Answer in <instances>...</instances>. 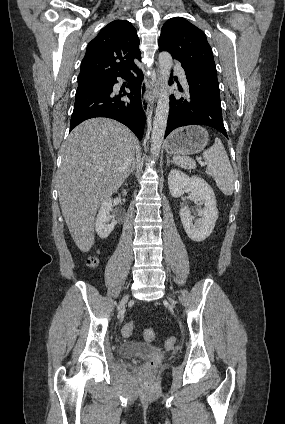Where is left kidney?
Segmentation results:
<instances>
[{
	"mask_svg": "<svg viewBox=\"0 0 285 424\" xmlns=\"http://www.w3.org/2000/svg\"><path fill=\"white\" fill-rule=\"evenodd\" d=\"M168 185L173 197H180L185 192L190 191L191 195L199 201V205L204 204V207L198 210V215L201 218L195 224H193V217L189 208L184 206L183 203L179 215L184 230L191 240L195 242L205 240L212 233L218 219L216 197L211 186L201 177H190L177 169L170 171Z\"/></svg>",
	"mask_w": 285,
	"mask_h": 424,
	"instance_id": "left-kidney-1",
	"label": "left kidney"
}]
</instances>
